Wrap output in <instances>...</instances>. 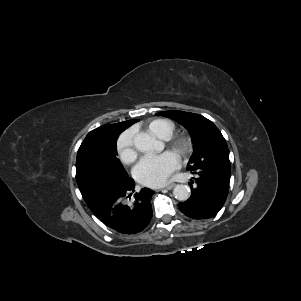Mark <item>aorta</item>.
<instances>
[{"instance_id": "1", "label": "aorta", "mask_w": 301, "mask_h": 301, "mask_svg": "<svg viewBox=\"0 0 301 301\" xmlns=\"http://www.w3.org/2000/svg\"><path fill=\"white\" fill-rule=\"evenodd\" d=\"M134 146L141 152L151 151L155 147V140L148 134L139 133L134 137ZM173 195L179 201H186L190 197V189L186 185H177L173 190Z\"/></svg>"}]
</instances>
